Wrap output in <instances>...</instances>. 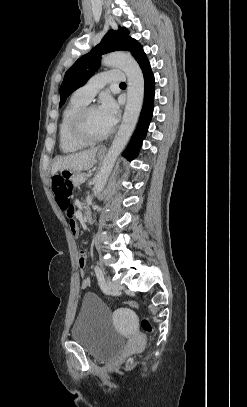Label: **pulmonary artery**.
Wrapping results in <instances>:
<instances>
[{"label":"pulmonary artery","instance_id":"obj_1","mask_svg":"<svg viewBox=\"0 0 247 407\" xmlns=\"http://www.w3.org/2000/svg\"><path fill=\"white\" fill-rule=\"evenodd\" d=\"M124 80L125 76L119 70L100 72L94 75L85 85L78 88L73 97L88 103L107 83H121Z\"/></svg>","mask_w":247,"mask_h":407}]
</instances>
